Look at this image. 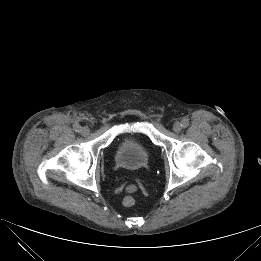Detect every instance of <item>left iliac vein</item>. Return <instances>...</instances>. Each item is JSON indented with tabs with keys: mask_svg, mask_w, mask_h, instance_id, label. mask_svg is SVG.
Segmentation results:
<instances>
[{
	"mask_svg": "<svg viewBox=\"0 0 261 261\" xmlns=\"http://www.w3.org/2000/svg\"><path fill=\"white\" fill-rule=\"evenodd\" d=\"M181 129H182L181 123L178 122V121L174 122V124H173V130H174L176 133H178V132L181 131Z\"/></svg>",
	"mask_w": 261,
	"mask_h": 261,
	"instance_id": "obj_1",
	"label": "left iliac vein"
}]
</instances>
